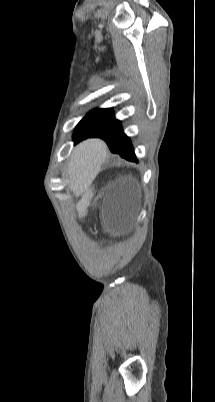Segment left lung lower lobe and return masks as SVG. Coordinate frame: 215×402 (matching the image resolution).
Segmentation results:
<instances>
[{"instance_id":"0a47b994","label":"left lung lower lobe","mask_w":215,"mask_h":402,"mask_svg":"<svg viewBox=\"0 0 215 402\" xmlns=\"http://www.w3.org/2000/svg\"><path fill=\"white\" fill-rule=\"evenodd\" d=\"M89 137L102 138L109 146L111 152L118 153L122 158L127 160L137 161L131 141L123 132L119 120L114 118L112 121L94 131L92 134L80 137L74 140V142L78 143Z\"/></svg>"}]
</instances>
